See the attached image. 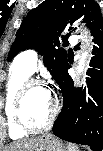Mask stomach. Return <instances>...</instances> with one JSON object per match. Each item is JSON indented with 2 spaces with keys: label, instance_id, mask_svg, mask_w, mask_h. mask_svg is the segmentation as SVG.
<instances>
[{
  "label": "stomach",
  "instance_id": "0dacf381",
  "mask_svg": "<svg viewBox=\"0 0 103 151\" xmlns=\"http://www.w3.org/2000/svg\"><path fill=\"white\" fill-rule=\"evenodd\" d=\"M29 151H66L64 144L51 134L38 137Z\"/></svg>",
  "mask_w": 103,
  "mask_h": 151
}]
</instances>
